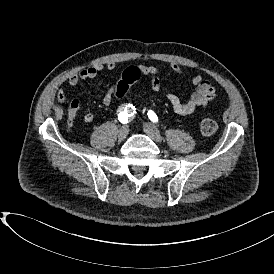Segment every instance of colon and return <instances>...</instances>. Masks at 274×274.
I'll use <instances>...</instances> for the list:
<instances>
[{
    "label": "colon",
    "instance_id": "obj_1",
    "mask_svg": "<svg viewBox=\"0 0 274 274\" xmlns=\"http://www.w3.org/2000/svg\"><path fill=\"white\" fill-rule=\"evenodd\" d=\"M141 70L135 66H129L121 74V79L117 82L114 93L117 97L122 98L126 95L127 89L136 84L141 78ZM75 113H68L67 123L72 125ZM200 130L203 135H211L216 131V121L213 118H203L200 123Z\"/></svg>",
    "mask_w": 274,
    "mask_h": 274
}]
</instances>
